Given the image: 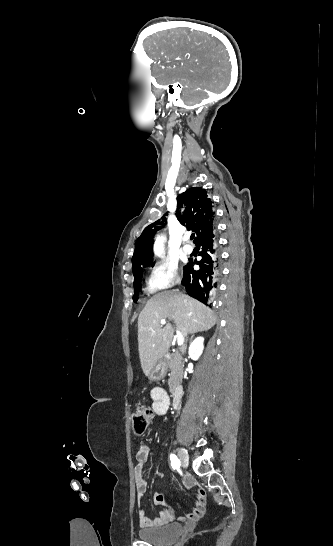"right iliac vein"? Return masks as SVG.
<instances>
[{
	"label": "right iliac vein",
	"mask_w": 333,
	"mask_h": 546,
	"mask_svg": "<svg viewBox=\"0 0 333 546\" xmlns=\"http://www.w3.org/2000/svg\"><path fill=\"white\" fill-rule=\"evenodd\" d=\"M178 457H179V460L181 461L182 466H183V467H187V466H188L189 457H188L187 451H186L184 448H179V450H178Z\"/></svg>",
	"instance_id": "obj_1"
}]
</instances>
